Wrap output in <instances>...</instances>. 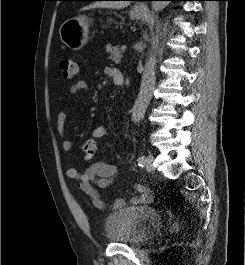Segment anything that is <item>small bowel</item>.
<instances>
[{"label": "small bowel", "mask_w": 245, "mask_h": 265, "mask_svg": "<svg viewBox=\"0 0 245 265\" xmlns=\"http://www.w3.org/2000/svg\"><path fill=\"white\" fill-rule=\"evenodd\" d=\"M105 74L115 80L118 77H122L123 74L116 68L106 67ZM88 83L84 80L76 81L71 87V93L77 95L81 92L88 91ZM67 120V111H61L56 120V129L60 136L63 137L61 146L63 150L69 151L72 148V142L69 139L64 138L65 123ZM108 134V130L104 125L96 126L91 133L93 141L104 138ZM67 177L77 181L78 188L81 192L87 195L94 207L101 210H118L125 206V201L122 198H117L111 205L106 204L100 197L98 189H106L112 186L114 182L119 178L120 172L118 168L103 161H96L85 168L83 171H79L74 167H69L66 171ZM138 195L132 198L133 203L147 204L153 201V195L151 191L142 184H136L134 186Z\"/></svg>", "instance_id": "c3829d8e"}]
</instances>
